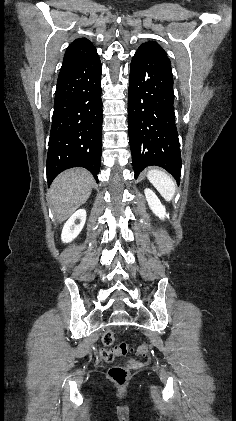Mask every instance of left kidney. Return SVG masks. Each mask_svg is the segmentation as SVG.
I'll return each instance as SVG.
<instances>
[{"label": "left kidney", "mask_w": 236, "mask_h": 421, "mask_svg": "<svg viewBox=\"0 0 236 421\" xmlns=\"http://www.w3.org/2000/svg\"><path fill=\"white\" fill-rule=\"evenodd\" d=\"M144 192H145L146 200L151 208L152 213H154L156 217H159V219H165L166 217L165 208L163 204H161L155 192H153L151 188H145Z\"/></svg>", "instance_id": "1"}]
</instances>
